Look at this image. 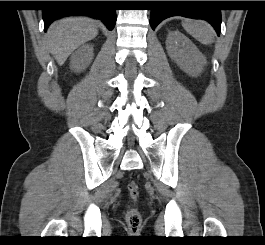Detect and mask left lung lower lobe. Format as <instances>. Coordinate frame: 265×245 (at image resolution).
I'll return each instance as SVG.
<instances>
[{"instance_id":"left-lung-lower-lobe-1","label":"left lung lower lobe","mask_w":265,"mask_h":245,"mask_svg":"<svg viewBox=\"0 0 265 245\" xmlns=\"http://www.w3.org/2000/svg\"><path fill=\"white\" fill-rule=\"evenodd\" d=\"M162 7L151 10V28L156 26L164 19L171 16H183L193 19H204L208 21L220 34L221 10L213 8L214 1H161ZM192 6H204L203 8H192Z\"/></svg>"}]
</instances>
